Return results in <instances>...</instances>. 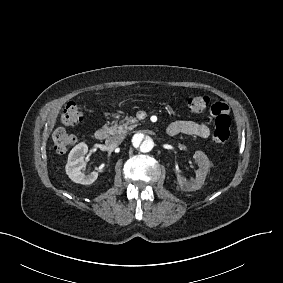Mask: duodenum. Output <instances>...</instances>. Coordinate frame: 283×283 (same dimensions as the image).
<instances>
[{
  "label": "duodenum",
  "mask_w": 283,
  "mask_h": 283,
  "mask_svg": "<svg viewBox=\"0 0 283 283\" xmlns=\"http://www.w3.org/2000/svg\"><path fill=\"white\" fill-rule=\"evenodd\" d=\"M109 136L107 128L101 127L95 131V138L99 141L105 140Z\"/></svg>",
  "instance_id": "obj_1"
}]
</instances>
